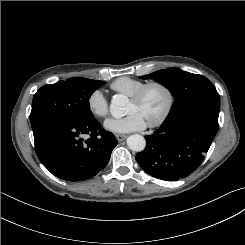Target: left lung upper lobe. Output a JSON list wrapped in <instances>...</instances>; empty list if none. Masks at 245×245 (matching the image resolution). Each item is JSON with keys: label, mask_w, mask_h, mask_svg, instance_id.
I'll return each mask as SVG.
<instances>
[{"label": "left lung upper lobe", "mask_w": 245, "mask_h": 245, "mask_svg": "<svg viewBox=\"0 0 245 245\" xmlns=\"http://www.w3.org/2000/svg\"><path fill=\"white\" fill-rule=\"evenodd\" d=\"M141 79H154L170 90L176 98L164 123L170 122L183 113L202 107L220 110V97L214 85L204 76L167 68L140 76Z\"/></svg>", "instance_id": "left-lung-upper-lobe-1"}]
</instances>
